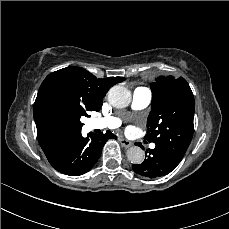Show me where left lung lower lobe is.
Listing matches in <instances>:
<instances>
[{"label":"left lung lower lobe","mask_w":229,"mask_h":229,"mask_svg":"<svg viewBox=\"0 0 229 229\" xmlns=\"http://www.w3.org/2000/svg\"><path fill=\"white\" fill-rule=\"evenodd\" d=\"M179 163L180 161L174 159L165 147L156 145L154 149L146 152V159L142 164L132 165V168L139 175L157 178L169 174Z\"/></svg>","instance_id":"1"}]
</instances>
